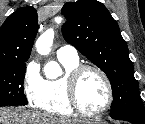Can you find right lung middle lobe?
Returning a JSON list of instances; mask_svg holds the SVG:
<instances>
[{
	"label": "right lung middle lobe",
	"mask_w": 145,
	"mask_h": 124,
	"mask_svg": "<svg viewBox=\"0 0 145 124\" xmlns=\"http://www.w3.org/2000/svg\"><path fill=\"white\" fill-rule=\"evenodd\" d=\"M26 61L0 63V106L27 104L23 91Z\"/></svg>",
	"instance_id": "right-lung-middle-lobe-1"
}]
</instances>
